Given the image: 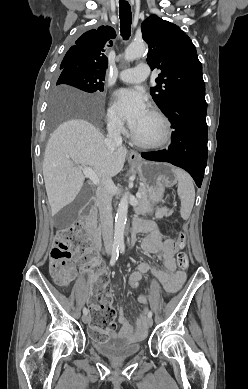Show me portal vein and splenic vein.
Returning a JSON list of instances; mask_svg holds the SVG:
<instances>
[{
    "mask_svg": "<svg viewBox=\"0 0 248 389\" xmlns=\"http://www.w3.org/2000/svg\"><path fill=\"white\" fill-rule=\"evenodd\" d=\"M79 169L82 171V173L88 177L95 185H98L100 183V179L98 175L93 171L90 167H79ZM136 197L140 198L141 194L140 192L136 193Z\"/></svg>",
    "mask_w": 248,
    "mask_h": 389,
    "instance_id": "portal-vein-and-splenic-vein-1",
    "label": "portal vein and splenic vein"
}]
</instances>
